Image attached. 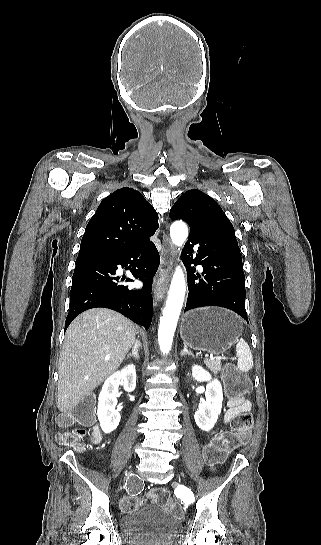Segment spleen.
I'll list each match as a JSON object with an SVG mask.
<instances>
[{
  "mask_svg": "<svg viewBox=\"0 0 321 545\" xmlns=\"http://www.w3.org/2000/svg\"><path fill=\"white\" fill-rule=\"evenodd\" d=\"M236 355L238 357L237 367L242 373H248L253 367V357L250 347L245 343L244 339H239L236 345Z\"/></svg>",
  "mask_w": 321,
  "mask_h": 545,
  "instance_id": "1",
  "label": "spleen"
}]
</instances>
